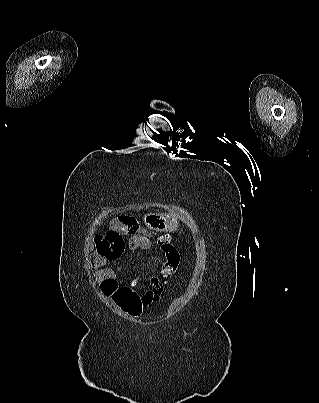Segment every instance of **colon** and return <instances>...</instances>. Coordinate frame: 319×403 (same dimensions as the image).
<instances>
[{"label":"colon","mask_w":319,"mask_h":403,"mask_svg":"<svg viewBox=\"0 0 319 403\" xmlns=\"http://www.w3.org/2000/svg\"><path fill=\"white\" fill-rule=\"evenodd\" d=\"M114 224V223H113ZM151 228V230H152V227H150ZM95 245H96V238H95ZM163 268H164V266H163ZM171 286V285H170ZM169 286V287H170ZM165 290V288H163V291Z\"/></svg>","instance_id":"colon-1"}]
</instances>
